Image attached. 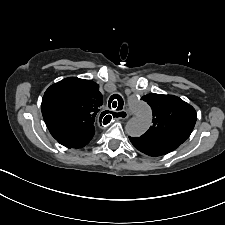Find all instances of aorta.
<instances>
[{"label": "aorta", "mask_w": 225, "mask_h": 225, "mask_svg": "<svg viewBox=\"0 0 225 225\" xmlns=\"http://www.w3.org/2000/svg\"><path fill=\"white\" fill-rule=\"evenodd\" d=\"M129 108L135 114L126 124V133L131 137L143 135L150 127L152 121L151 109L145 102L134 99L128 102Z\"/></svg>", "instance_id": "obj_1"}]
</instances>
